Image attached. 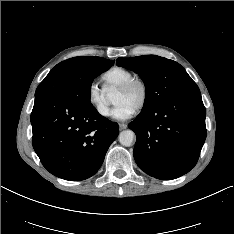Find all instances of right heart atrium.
<instances>
[{
  "instance_id": "obj_1",
  "label": "right heart atrium",
  "mask_w": 234,
  "mask_h": 234,
  "mask_svg": "<svg viewBox=\"0 0 234 234\" xmlns=\"http://www.w3.org/2000/svg\"><path fill=\"white\" fill-rule=\"evenodd\" d=\"M87 99L100 116L107 117L110 115V109L105 102L103 93L94 82L90 83L87 88Z\"/></svg>"
}]
</instances>
